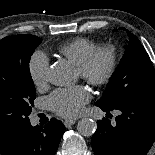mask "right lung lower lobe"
<instances>
[{
    "instance_id": "1",
    "label": "right lung lower lobe",
    "mask_w": 155,
    "mask_h": 155,
    "mask_svg": "<svg viewBox=\"0 0 155 155\" xmlns=\"http://www.w3.org/2000/svg\"><path fill=\"white\" fill-rule=\"evenodd\" d=\"M64 129L62 122L54 118L44 127L29 124L0 140V155H54Z\"/></svg>"
}]
</instances>
